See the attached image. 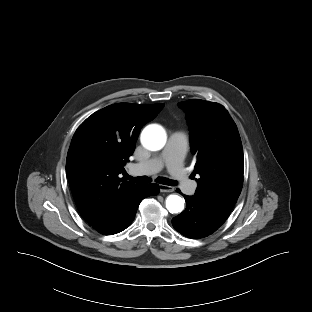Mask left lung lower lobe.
<instances>
[{"label":"left lung lower lobe","instance_id":"obj_1","mask_svg":"<svg viewBox=\"0 0 312 312\" xmlns=\"http://www.w3.org/2000/svg\"><path fill=\"white\" fill-rule=\"evenodd\" d=\"M186 210L172 219L176 231L188 238H203L216 231L229 216L195 196H184Z\"/></svg>","mask_w":312,"mask_h":312}]
</instances>
